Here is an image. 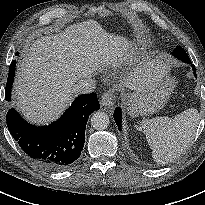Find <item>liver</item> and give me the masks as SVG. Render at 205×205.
I'll list each match as a JSON object with an SVG mask.
<instances>
[{
	"label": "liver",
	"instance_id": "obj_1",
	"mask_svg": "<svg viewBox=\"0 0 205 205\" xmlns=\"http://www.w3.org/2000/svg\"><path fill=\"white\" fill-rule=\"evenodd\" d=\"M128 48L125 38L108 34L93 20L34 40L17 64L16 108L29 122L48 124L70 105L76 82L117 65L129 56ZM165 72L160 60L148 61L122 84L131 90H145Z\"/></svg>",
	"mask_w": 205,
	"mask_h": 205
}]
</instances>
